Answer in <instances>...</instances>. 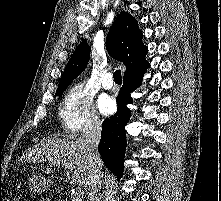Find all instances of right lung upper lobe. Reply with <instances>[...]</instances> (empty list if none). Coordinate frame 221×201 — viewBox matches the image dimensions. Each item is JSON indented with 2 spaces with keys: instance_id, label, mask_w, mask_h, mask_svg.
Returning <instances> with one entry per match:
<instances>
[{
  "instance_id": "cb5924a9",
  "label": "right lung upper lobe",
  "mask_w": 221,
  "mask_h": 201,
  "mask_svg": "<svg viewBox=\"0 0 221 201\" xmlns=\"http://www.w3.org/2000/svg\"><path fill=\"white\" fill-rule=\"evenodd\" d=\"M143 34L137 20L129 13L121 12L106 38L108 53L126 66L124 76L139 71L148 65L145 60L147 47L142 43ZM90 57V46L83 40L75 49L62 74L56 92L64 91L84 70Z\"/></svg>"
}]
</instances>
